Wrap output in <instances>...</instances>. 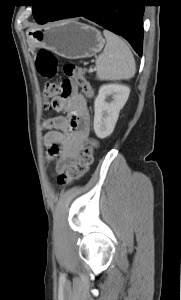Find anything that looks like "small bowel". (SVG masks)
Returning <instances> with one entry per match:
<instances>
[{
  "label": "small bowel",
  "mask_w": 181,
  "mask_h": 300,
  "mask_svg": "<svg viewBox=\"0 0 181 300\" xmlns=\"http://www.w3.org/2000/svg\"><path fill=\"white\" fill-rule=\"evenodd\" d=\"M63 92L51 101L57 112L65 115L54 116L46 121L49 129L45 136L48 159L56 161L57 172L63 171L77 160L89 134L90 117L85 98L71 81L62 84Z\"/></svg>",
  "instance_id": "small-bowel-1"
}]
</instances>
